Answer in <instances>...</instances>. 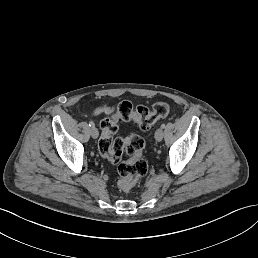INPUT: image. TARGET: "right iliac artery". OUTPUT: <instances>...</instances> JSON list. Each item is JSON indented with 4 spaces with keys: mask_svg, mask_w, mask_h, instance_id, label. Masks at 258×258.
Masks as SVG:
<instances>
[{
    "mask_svg": "<svg viewBox=\"0 0 258 258\" xmlns=\"http://www.w3.org/2000/svg\"><path fill=\"white\" fill-rule=\"evenodd\" d=\"M89 126H90V127H94V126H95L94 122H93V121H90V122H89Z\"/></svg>",
    "mask_w": 258,
    "mask_h": 258,
    "instance_id": "right-iliac-artery-1",
    "label": "right iliac artery"
}]
</instances>
